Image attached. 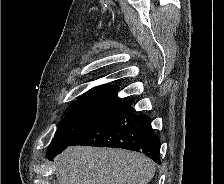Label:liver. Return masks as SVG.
Instances as JSON below:
<instances>
[{
  "instance_id": "1",
  "label": "liver",
  "mask_w": 224,
  "mask_h": 184,
  "mask_svg": "<svg viewBox=\"0 0 224 184\" xmlns=\"http://www.w3.org/2000/svg\"><path fill=\"white\" fill-rule=\"evenodd\" d=\"M55 162L59 184H148L155 173L150 158L123 149L68 147Z\"/></svg>"
}]
</instances>
